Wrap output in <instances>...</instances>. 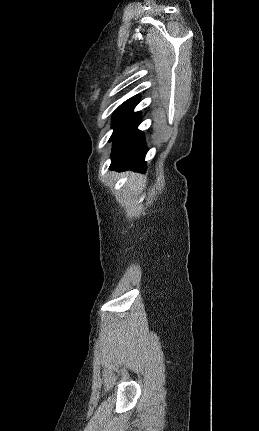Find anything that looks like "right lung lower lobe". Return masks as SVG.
I'll list each match as a JSON object with an SVG mask.
<instances>
[{
	"label": "right lung lower lobe",
	"instance_id": "1",
	"mask_svg": "<svg viewBox=\"0 0 259 431\" xmlns=\"http://www.w3.org/2000/svg\"><path fill=\"white\" fill-rule=\"evenodd\" d=\"M139 122L140 112L132 111L113 132L110 138L113 141L111 169L145 172L147 148L143 133L137 129Z\"/></svg>",
	"mask_w": 259,
	"mask_h": 431
}]
</instances>
